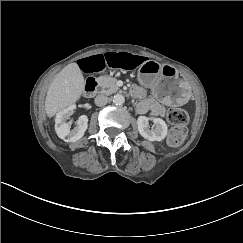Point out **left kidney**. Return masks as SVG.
I'll return each instance as SVG.
<instances>
[{"instance_id":"left-kidney-1","label":"left kidney","mask_w":243,"mask_h":243,"mask_svg":"<svg viewBox=\"0 0 243 243\" xmlns=\"http://www.w3.org/2000/svg\"><path fill=\"white\" fill-rule=\"evenodd\" d=\"M155 124L154 129H149V120ZM138 131L140 135L149 141H162L167 136L168 127L161 118H148L139 116L137 119Z\"/></svg>"}]
</instances>
